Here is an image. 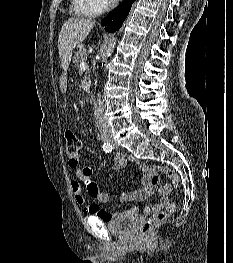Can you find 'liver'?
Returning a JSON list of instances; mask_svg holds the SVG:
<instances>
[{
    "instance_id": "1",
    "label": "liver",
    "mask_w": 233,
    "mask_h": 263,
    "mask_svg": "<svg viewBox=\"0 0 233 263\" xmlns=\"http://www.w3.org/2000/svg\"><path fill=\"white\" fill-rule=\"evenodd\" d=\"M94 24V21L84 18H70L63 24L58 38V51L64 71L69 68L74 47L83 42Z\"/></svg>"
}]
</instances>
